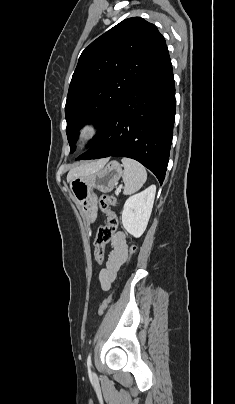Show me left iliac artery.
Segmentation results:
<instances>
[{"mask_svg":"<svg viewBox=\"0 0 235 404\" xmlns=\"http://www.w3.org/2000/svg\"><path fill=\"white\" fill-rule=\"evenodd\" d=\"M91 366H92L91 354L89 353L88 358H87V367H88L89 370H90Z\"/></svg>","mask_w":235,"mask_h":404,"instance_id":"44dca946","label":"left iliac artery"}]
</instances>
